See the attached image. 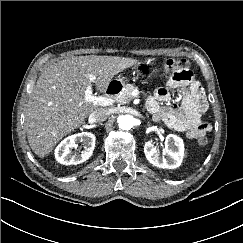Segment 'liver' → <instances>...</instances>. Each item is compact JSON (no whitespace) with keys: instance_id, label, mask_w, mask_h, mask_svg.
Listing matches in <instances>:
<instances>
[{"instance_id":"obj_1","label":"liver","mask_w":243,"mask_h":243,"mask_svg":"<svg viewBox=\"0 0 243 243\" xmlns=\"http://www.w3.org/2000/svg\"><path fill=\"white\" fill-rule=\"evenodd\" d=\"M134 63L131 58L86 55L48 66L37 80L25 111L27 139L34 153L47 156L98 108L84 99L89 83L104 92L115 75ZM91 76L95 79L90 80Z\"/></svg>"}]
</instances>
